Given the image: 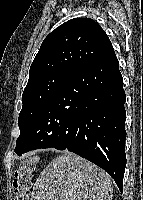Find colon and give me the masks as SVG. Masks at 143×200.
Segmentation results:
<instances>
[{
  "mask_svg": "<svg viewBox=\"0 0 143 200\" xmlns=\"http://www.w3.org/2000/svg\"><path fill=\"white\" fill-rule=\"evenodd\" d=\"M38 158L31 156L23 160L14 173L13 188L14 200H29L33 173Z\"/></svg>",
  "mask_w": 143,
  "mask_h": 200,
  "instance_id": "5ec220e1",
  "label": "colon"
}]
</instances>
